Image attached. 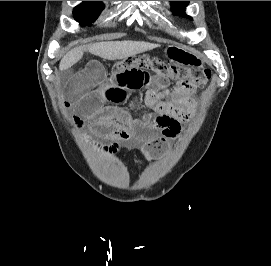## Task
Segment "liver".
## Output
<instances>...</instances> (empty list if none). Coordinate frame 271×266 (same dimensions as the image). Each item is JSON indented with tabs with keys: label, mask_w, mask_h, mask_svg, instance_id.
Instances as JSON below:
<instances>
[{
	"label": "liver",
	"mask_w": 271,
	"mask_h": 266,
	"mask_svg": "<svg viewBox=\"0 0 271 266\" xmlns=\"http://www.w3.org/2000/svg\"><path fill=\"white\" fill-rule=\"evenodd\" d=\"M157 46V44L140 41H111L95 43L85 47L74 48L68 52L62 58L59 69L64 71L67 70L68 67H72L82 58L85 49H88L91 54L103 59L117 60L152 50Z\"/></svg>",
	"instance_id": "6515ba94"
}]
</instances>
